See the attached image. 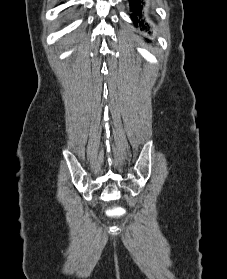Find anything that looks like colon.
I'll use <instances>...</instances> for the list:
<instances>
[{"label":"colon","mask_w":227,"mask_h":279,"mask_svg":"<svg viewBox=\"0 0 227 279\" xmlns=\"http://www.w3.org/2000/svg\"><path fill=\"white\" fill-rule=\"evenodd\" d=\"M126 215V212L124 209H121V211L118 213V217H124Z\"/></svg>","instance_id":"5ec220e1"}]
</instances>
